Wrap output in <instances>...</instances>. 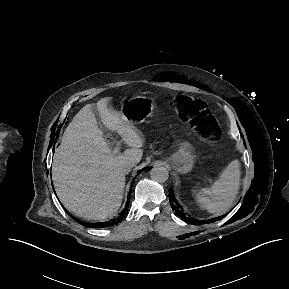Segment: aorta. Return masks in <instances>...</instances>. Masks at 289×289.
Here are the masks:
<instances>
[{"label":"aorta","instance_id":"762f6f07","mask_svg":"<svg viewBox=\"0 0 289 289\" xmlns=\"http://www.w3.org/2000/svg\"><path fill=\"white\" fill-rule=\"evenodd\" d=\"M151 179L158 183H164L169 178L168 170L163 166H157L150 171Z\"/></svg>","mask_w":289,"mask_h":289}]
</instances>
